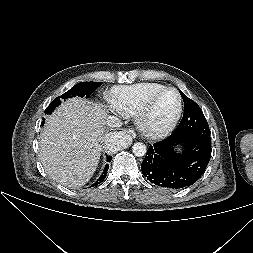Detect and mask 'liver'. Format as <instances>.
<instances>
[{
    "mask_svg": "<svg viewBox=\"0 0 253 253\" xmlns=\"http://www.w3.org/2000/svg\"><path fill=\"white\" fill-rule=\"evenodd\" d=\"M106 114L75 97L46 119L39 155L47 174L68 187H81L93 176L101 155Z\"/></svg>",
    "mask_w": 253,
    "mask_h": 253,
    "instance_id": "6515ba94",
    "label": "liver"
}]
</instances>
